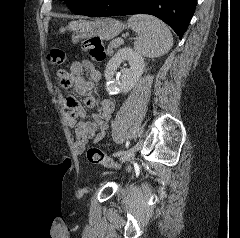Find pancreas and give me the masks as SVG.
Here are the masks:
<instances>
[{"label":"pancreas","instance_id":"1","mask_svg":"<svg viewBox=\"0 0 240 238\" xmlns=\"http://www.w3.org/2000/svg\"><path fill=\"white\" fill-rule=\"evenodd\" d=\"M120 45L121 43L118 41V39L112 40L107 47L106 54L111 56L114 52V48H118Z\"/></svg>","mask_w":240,"mask_h":238}]
</instances>
